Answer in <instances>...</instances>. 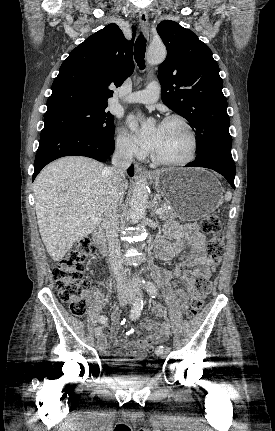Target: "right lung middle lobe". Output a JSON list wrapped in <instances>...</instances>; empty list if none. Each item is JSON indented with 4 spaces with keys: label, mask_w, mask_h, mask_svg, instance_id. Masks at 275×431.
<instances>
[{
    "label": "right lung middle lobe",
    "mask_w": 275,
    "mask_h": 431,
    "mask_svg": "<svg viewBox=\"0 0 275 431\" xmlns=\"http://www.w3.org/2000/svg\"><path fill=\"white\" fill-rule=\"evenodd\" d=\"M107 105L65 108L45 113L44 129L68 127L114 137V116L106 112Z\"/></svg>",
    "instance_id": "right-lung-middle-lobe-1"
}]
</instances>
